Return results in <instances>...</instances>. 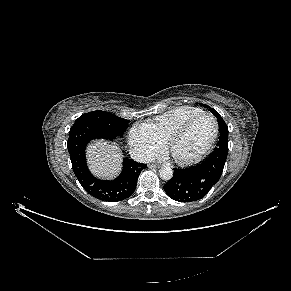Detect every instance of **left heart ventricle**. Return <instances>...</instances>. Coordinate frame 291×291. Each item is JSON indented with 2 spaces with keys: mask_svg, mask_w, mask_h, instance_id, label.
Wrapping results in <instances>:
<instances>
[{
  "mask_svg": "<svg viewBox=\"0 0 291 291\" xmlns=\"http://www.w3.org/2000/svg\"><path fill=\"white\" fill-rule=\"evenodd\" d=\"M213 132V120L209 117L199 118L173 144L172 154L178 158H191L197 155L207 146Z\"/></svg>",
  "mask_w": 291,
  "mask_h": 291,
  "instance_id": "left-heart-ventricle-1",
  "label": "left heart ventricle"
}]
</instances>
